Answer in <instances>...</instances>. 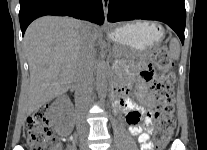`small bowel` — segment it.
<instances>
[{"mask_svg": "<svg viewBox=\"0 0 207 150\" xmlns=\"http://www.w3.org/2000/svg\"><path fill=\"white\" fill-rule=\"evenodd\" d=\"M119 70L123 73L124 79L115 85L114 108L125 114L130 132L138 138L141 150H153L154 145L149 133L153 117L152 107L155 104V97L151 91L154 70L145 63L137 65L122 63L119 65ZM133 85L140 104L127 96Z\"/></svg>", "mask_w": 207, "mask_h": 150, "instance_id": "c3829d8e", "label": "small bowel"}]
</instances>
